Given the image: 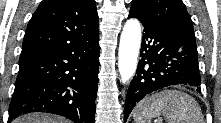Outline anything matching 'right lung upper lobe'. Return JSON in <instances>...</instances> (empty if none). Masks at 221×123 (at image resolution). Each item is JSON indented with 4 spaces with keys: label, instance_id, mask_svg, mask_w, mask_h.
Here are the masks:
<instances>
[{
    "label": "right lung upper lobe",
    "instance_id": "obj_1",
    "mask_svg": "<svg viewBox=\"0 0 221 123\" xmlns=\"http://www.w3.org/2000/svg\"><path fill=\"white\" fill-rule=\"evenodd\" d=\"M96 35L94 0H43L27 26L22 53L61 49Z\"/></svg>",
    "mask_w": 221,
    "mask_h": 123
}]
</instances>
